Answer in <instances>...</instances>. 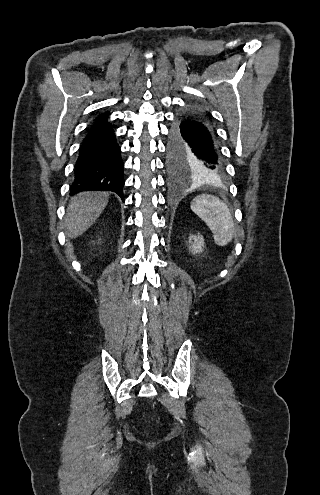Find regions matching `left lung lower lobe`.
<instances>
[{
  "mask_svg": "<svg viewBox=\"0 0 320 495\" xmlns=\"http://www.w3.org/2000/svg\"><path fill=\"white\" fill-rule=\"evenodd\" d=\"M175 125L182 129L193 149L198 152L208 170V176L213 177L225 172L226 166L217 145L215 133L206 115L190 108L176 117Z\"/></svg>",
  "mask_w": 320,
  "mask_h": 495,
  "instance_id": "left-lung-lower-lobe-1",
  "label": "left lung lower lobe"
}]
</instances>
